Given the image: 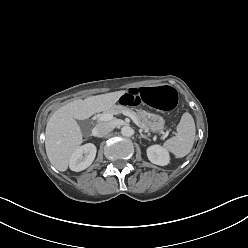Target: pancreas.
<instances>
[{"label":"pancreas","instance_id":"cf45deb5","mask_svg":"<svg viewBox=\"0 0 248 248\" xmlns=\"http://www.w3.org/2000/svg\"><path fill=\"white\" fill-rule=\"evenodd\" d=\"M105 113H111L113 115L121 114V113H129L137 119L141 128H143L144 130H149L148 125L142 120L141 116L132 109H129L127 107L121 105H114L108 110H106Z\"/></svg>","mask_w":248,"mask_h":248}]
</instances>
